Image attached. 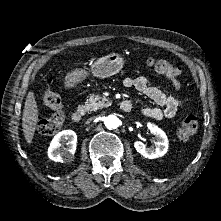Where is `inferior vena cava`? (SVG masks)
Instances as JSON below:
<instances>
[{"label": "inferior vena cava", "mask_w": 221, "mask_h": 221, "mask_svg": "<svg viewBox=\"0 0 221 221\" xmlns=\"http://www.w3.org/2000/svg\"><path fill=\"white\" fill-rule=\"evenodd\" d=\"M92 119H93V118L88 119V120H87V123H89L90 121H92Z\"/></svg>", "instance_id": "602c4592"}]
</instances>
